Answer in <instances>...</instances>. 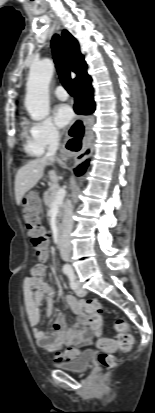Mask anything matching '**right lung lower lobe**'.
<instances>
[{
	"label": "right lung lower lobe",
	"instance_id": "98d812e1",
	"mask_svg": "<svg viewBox=\"0 0 155 413\" xmlns=\"http://www.w3.org/2000/svg\"><path fill=\"white\" fill-rule=\"evenodd\" d=\"M73 89L75 93L74 110L77 114H90L95 109V102L93 100V88L91 86V77L85 73L73 81ZM89 160L80 164L74 169L76 175H82L87 166Z\"/></svg>",
	"mask_w": 155,
	"mask_h": 413
}]
</instances>
